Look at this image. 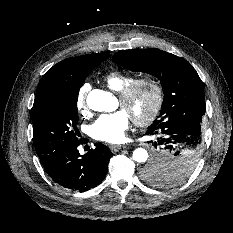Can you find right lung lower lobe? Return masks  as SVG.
<instances>
[{
  "mask_svg": "<svg viewBox=\"0 0 233 233\" xmlns=\"http://www.w3.org/2000/svg\"><path fill=\"white\" fill-rule=\"evenodd\" d=\"M79 143L40 160L56 183L73 191L84 192L103 181L113 154L107 146L95 144V149L80 155L77 149Z\"/></svg>",
  "mask_w": 233,
  "mask_h": 233,
  "instance_id": "obj_1",
  "label": "right lung lower lobe"
}]
</instances>
